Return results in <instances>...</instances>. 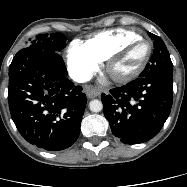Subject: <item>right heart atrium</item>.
<instances>
[{
    "label": "right heart atrium",
    "mask_w": 187,
    "mask_h": 187,
    "mask_svg": "<svg viewBox=\"0 0 187 187\" xmlns=\"http://www.w3.org/2000/svg\"><path fill=\"white\" fill-rule=\"evenodd\" d=\"M100 61L79 40L71 42L67 49V65L77 81H86L98 69Z\"/></svg>",
    "instance_id": "right-heart-atrium-1"
}]
</instances>
